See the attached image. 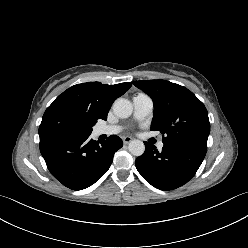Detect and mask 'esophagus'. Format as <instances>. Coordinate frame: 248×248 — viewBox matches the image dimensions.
I'll return each instance as SVG.
<instances>
[{
  "label": "esophagus",
  "mask_w": 248,
  "mask_h": 248,
  "mask_svg": "<svg viewBox=\"0 0 248 248\" xmlns=\"http://www.w3.org/2000/svg\"><path fill=\"white\" fill-rule=\"evenodd\" d=\"M132 140H133V138L130 137V136H124V137H123V143H124V144L130 143Z\"/></svg>",
  "instance_id": "esophagus-1"
}]
</instances>
